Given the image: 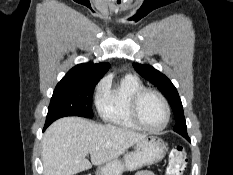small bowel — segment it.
<instances>
[{
	"label": "small bowel",
	"mask_w": 233,
	"mask_h": 175,
	"mask_svg": "<svg viewBox=\"0 0 233 175\" xmlns=\"http://www.w3.org/2000/svg\"><path fill=\"white\" fill-rule=\"evenodd\" d=\"M133 175H155V174L151 171H137Z\"/></svg>",
	"instance_id": "small-bowel-1"
}]
</instances>
